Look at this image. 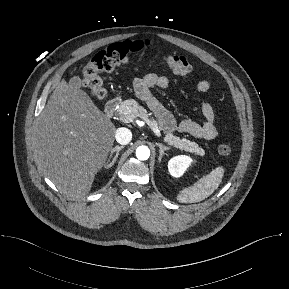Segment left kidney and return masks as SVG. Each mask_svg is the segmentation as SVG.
I'll return each mask as SVG.
<instances>
[{
    "label": "left kidney",
    "mask_w": 289,
    "mask_h": 289,
    "mask_svg": "<svg viewBox=\"0 0 289 289\" xmlns=\"http://www.w3.org/2000/svg\"><path fill=\"white\" fill-rule=\"evenodd\" d=\"M191 162L192 159L185 155L173 157L168 162V170L173 177H181Z\"/></svg>",
    "instance_id": "obj_1"
}]
</instances>
